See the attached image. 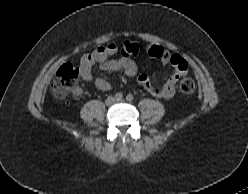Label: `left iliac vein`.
<instances>
[{"label": "left iliac vein", "instance_id": "1", "mask_svg": "<svg viewBox=\"0 0 248 194\" xmlns=\"http://www.w3.org/2000/svg\"><path fill=\"white\" fill-rule=\"evenodd\" d=\"M116 102H123V100L121 99V100H116Z\"/></svg>", "mask_w": 248, "mask_h": 194}]
</instances>
